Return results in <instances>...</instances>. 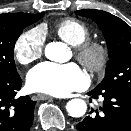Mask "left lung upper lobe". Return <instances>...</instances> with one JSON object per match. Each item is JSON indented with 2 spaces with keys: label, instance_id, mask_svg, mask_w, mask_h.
Segmentation results:
<instances>
[{
  "label": "left lung upper lobe",
  "instance_id": "5c2ea615",
  "mask_svg": "<svg viewBox=\"0 0 131 131\" xmlns=\"http://www.w3.org/2000/svg\"><path fill=\"white\" fill-rule=\"evenodd\" d=\"M76 14L97 23L109 50L105 77L96 88L131 91V27L120 18L101 10L84 9L76 11Z\"/></svg>",
  "mask_w": 131,
  "mask_h": 131
}]
</instances>
